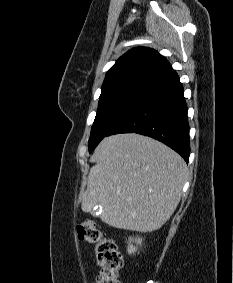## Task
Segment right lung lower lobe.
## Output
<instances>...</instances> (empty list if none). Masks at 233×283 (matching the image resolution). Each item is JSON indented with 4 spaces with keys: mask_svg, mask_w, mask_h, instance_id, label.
<instances>
[{
    "mask_svg": "<svg viewBox=\"0 0 233 283\" xmlns=\"http://www.w3.org/2000/svg\"><path fill=\"white\" fill-rule=\"evenodd\" d=\"M183 87L174 70L152 80L109 130L138 133L157 139L188 162L189 124Z\"/></svg>",
    "mask_w": 233,
    "mask_h": 283,
    "instance_id": "1",
    "label": "right lung lower lobe"
}]
</instances>
